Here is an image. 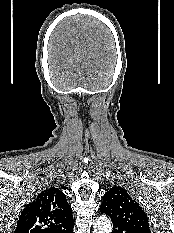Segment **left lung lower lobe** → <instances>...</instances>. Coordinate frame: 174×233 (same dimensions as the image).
<instances>
[{"label":"left lung lower lobe","mask_w":174,"mask_h":233,"mask_svg":"<svg viewBox=\"0 0 174 233\" xmlns=\"http://www.w3.org/2000/svg\"><path fill=\"white\" fill-rule=\"evenodd\" d=\"M112 233H141V232L135 229L126 227L124 225H120L118 223H113Z\"/></svg>","instance_id":"0a47b994"}]
</instances>
